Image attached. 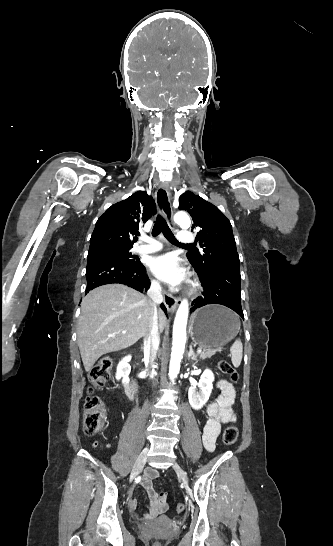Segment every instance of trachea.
<instances>
[{"label": "trachea", "instance_id": "trachea-1", "mask_svg": "<svg viewBox=\"0 0 333 546\" xmlns=\"http://www.w3.org/2000/svg\"><path fill=\"white\" fill-rule=\"evenodd\" d=\"M161 232L163 233L164 237L170 243H172L174 245L182 246V247H190L191 246V245H185V244L179 243L176 240L175 236L173 235L172 231L170 230L169 226L167 225L165 219L161 215H158L157 218H156L155 224L153 226L152 236L156 237Z\"/></svg>", "mask_w": 333, "mask_h": 546}]
</instances>
